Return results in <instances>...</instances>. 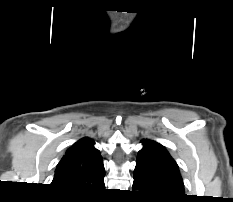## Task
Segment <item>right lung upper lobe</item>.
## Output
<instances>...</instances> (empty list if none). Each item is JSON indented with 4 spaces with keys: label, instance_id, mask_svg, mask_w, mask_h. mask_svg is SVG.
Instances as JSON below:
<instances>
[{
    "label": "right lung upper lobe",
    "instance_id": "cb5924a9",
    "mask_svg": "<svg viewBox=\"0 0 233 202\" xmlns=\"http://www.w3.org/2000/svg\"><path fill=\"white\" fill-rule=\"evenodd\" d=\"M103 159L94 141L82 138L72 145L58 163L51 186L74 196L92 195L104 186Z\"/></svg>",
    "mask_w": 233,
    "mask_h": 202
}]
</instances>
